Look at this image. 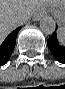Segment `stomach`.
<instances>
[{
    "label": "stomach",
    "instance_id": "stomach-1",
    "mask_svg": "<svg viewBox=\"0 0 65 89\" xmlns=\"http://www.w3.org/2000/svg\"><path fill=\"white\" fill-rule=\"evenodd\" d=\"M54 16L62 22V27L65 29V3L63 6L51 5L47 7Z\"/></svg>",
    "mask_w": 65,
    "mask_h": 89
}]
</instances>
